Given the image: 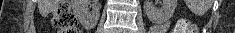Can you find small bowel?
Wrapping results in <instances>:
<instances>
[{
  "label": "small bowel",
  "mask_w": 235,
  "mask_h": 33,
  "mask_svg": "<svg viewBox=\"0 0 235 33\" xmlns=\"http://www.w3.org/2000/svg\"><path fill=\"white\" fill-rule=\"evenodd\" d=\"M169 25V22L157 24L151 28L150 33H166Z\"/></svg>",
  "instance_id": "obj_1"
}]
</instances>
